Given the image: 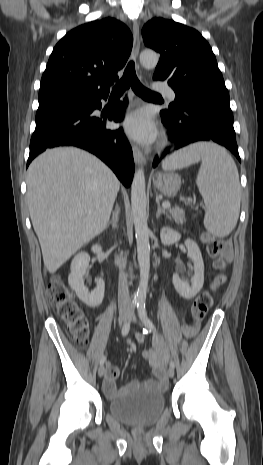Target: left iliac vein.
Returning a JSON list of instances; mask_svg holds the SVG:
<instances>
[{
	"instance_id": "1",
	"label": "left iliac vein",
	"mask_w": 263,
	"mask_h": 465,
	"mask_svg": "<svg viewBox=\"0 0 263 465\" xmlns=\"http://www.w3.org/2000/svg\"><path fill=\"white\" fill-rule=\"evenodd\" d=\"M131 320H132L133 322H136V317H135V314H134L133 312L131 313ZM168 376H169L170 378H173V377H174V368L169 367V369H168Z\"/></svg>"
}]
</instances>
